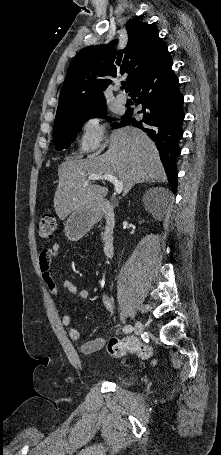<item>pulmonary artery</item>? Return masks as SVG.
<instances>
[{"label": "pulmonary artery", "mask_w": 221, "mask_h": 455, "mask_svg": "<svg viewBox=\"0 0 221 455\" xmlns=\"http://www.w3.org/2000/svg\"><path fill=\"white\" fill-rule=\"evenodd\" d=\"M117 100L120 103H126L128 98L125 94L119 93V94H117Z\"/></svg>", "instance_id": "e3ab8cb5"}]
</instances>
